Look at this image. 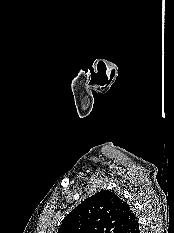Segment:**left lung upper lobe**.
Instances as JSON below:
<instances>
[{"label":"left lung upper lobe","instance_id":"obj_1","mask_svg":"<svg viewBox=\"0 0 174 233\" xmlns=\"http://www.w3.org/2000/svg\"><path fill=\"white\" fill-rule=\"evenodd\" d=\"M135 218L127 202L103 190L73 209L62 221L58 233H120Z\"/></svg>","mask_w":174,"mask_h":233}]
</instances>
